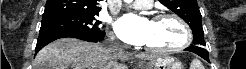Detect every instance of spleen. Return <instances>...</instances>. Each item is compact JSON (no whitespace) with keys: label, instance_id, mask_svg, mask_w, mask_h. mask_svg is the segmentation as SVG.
<instances>
[{"label":"spleen","instance_id":"1","mask_svg":"<svg viewBox=\"0 0 246 69\" xmlns=\"http://www.w3.org/2000/svg\"><path fill=\"white\" fill-rule=\"evenodd\" d=\"M190 69H204V67L198 59H193L190 65Z\"/></svg>","mask_w":246,"mask_h":69}]
</instances>
